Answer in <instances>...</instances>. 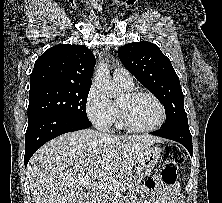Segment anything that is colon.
I'll list each match as a JSON object with an SVG mask.
<instances>
[{
    "mask_svg": "<svg viewBox=\"0 0 222 203\" xmlns=\"http://www.w3.org/2000/svg\"><path fill=\"white\" fill-rule=\"evenodd\" d=\"M163 167L161 171V180L165 184H176L178 177V167L184 160V154L176 145H167L163 152Z\"/></svg>",
    "mask_w": 222,
    "mask_h": 203,
    "instance_id": "5ec220e1",
    "label": "colon"
}]
</instances>
